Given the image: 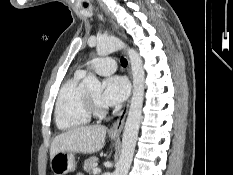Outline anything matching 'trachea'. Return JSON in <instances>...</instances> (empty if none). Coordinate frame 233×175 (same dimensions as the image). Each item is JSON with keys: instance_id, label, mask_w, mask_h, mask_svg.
<instances>
[{"instance_id": "obj_1", "label": "trachea", "mask_w": 233, "mask_h": 175, "mask_svg": "<svg viewBox=\"0 0 233 175\" xmlns=\"http://www.w3.org/2000/svg\"><path fill=\"white\" fill-rule=\"evenodd\" d=\"M85 7H87V5H85ZM121 64L126 67L127 66V60L125 58L121 59Z\"/></svg>"}]
</instances>
